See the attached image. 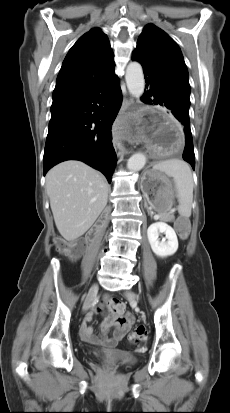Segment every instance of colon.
Here are the masks:
<instances>
[{
	"mask_svg": "<svg viewBox=\"0 0 230 413\" xmlns=\"http://www.w3.org/2000/svg\"><path fill=\"white\" fill-rule=\"evenodd\" d=\"M176 231L179 234V241L183 242L184 238L187 237L189 233V224L186 218L180 217L175 223ZM56 247L58 251L62 254H65L69 257H76L80 250L73 244L58 240L56 241ZM105 305L115 314H121L124 311L122 302L119 299L112 298L109 299ZM146 336V328L142 325L136 326L132 333L130 334V341L133 344H139Z\"/></svg>",
	"mask_w": 230,
	"mask_h": 413,
	"instance_id": "obj_1",
	"label": "colon"
}]
</instances>
